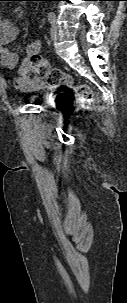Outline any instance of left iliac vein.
<instances>
[{
  "mask_svg": "<svg viewBox=\"0 0 127 303\" xmlns=\"http://www.w3.org/2000/svg\"><path fill=\"white\" fill-rule=\"evenodd\" d=\"M50 36L51 39H56L57 36V24L56 22L52 23L51 29H50Z\"/></svg>",
  "mask_w": 127,
  "mask_h": 303,
  "instance_id": "left-iliac-vein-1",
  "label": "left iliac vein"
}]
</instances>
